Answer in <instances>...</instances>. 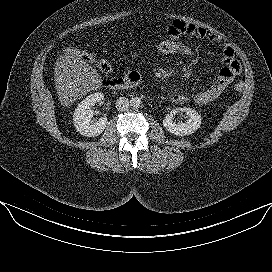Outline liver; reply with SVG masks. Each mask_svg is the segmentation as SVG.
I'll use <instances>...</instances> for the list:
<instances>
[{
	"instance_id": "6515ba94",
	"label": "liver",
	"mask_w": 272,
	"mask_h": 272,
	"mask_svg": "<svg viewBox=\"0 0 272 272\" xmlns=\"http://www.w3.org/2000/svg\"><path fill=\"white\" fill-rule=\"evenodd\" d=\"M54 82L61 104L70 106L78 98L97 89L101 76L77 55H61L54 68Z\"/></svg>"
}]
</instances>
